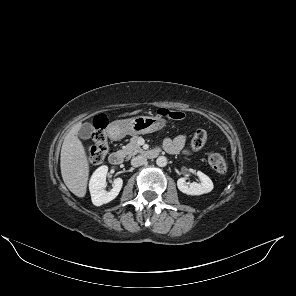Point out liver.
<instances>
[{
    "label": "liver",
    "instance_id": "1",
    "mask_svg": "<svg viewBox=\"0 0 296 296\" xmlns=\"http://www.w3.org/2000/svg\"><path fill=\"white\" fill-rule=\"evenodd\" d=\"M136 110L131 115L137 114ZM81 123L75 124L65 136L60 155V167L63 181L77 197H84L87 191L89 163L86 150L77 134Z\"/></svg>",
    "mask_w": 296,
    "mask_h": 296
}]
</instances>
